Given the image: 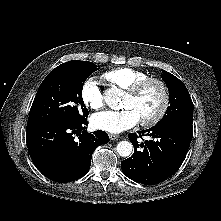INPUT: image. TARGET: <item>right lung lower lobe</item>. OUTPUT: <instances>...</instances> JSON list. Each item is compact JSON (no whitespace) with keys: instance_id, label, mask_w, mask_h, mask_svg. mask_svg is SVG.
I'll use <instances>...</instances> for the list:
<instances>
[{"instance_id":"98d812e1","label":"right lung lower lobe","mask_w":221,"mask_h":221,"mask_svg":"<svg viewBox=\"0 0 221 221\" xmlns=\"http://www.w3.org/2000/svg\"><path fill=\"white\" fill-rule=\"evenodd\" d=\"M87 120L27 125V147L37 169L56 182L74 181L90 168L95 148L109 142L104 131L88 133ZM78 136V139L76 138Z\"/></svg>"}]
</instances>
